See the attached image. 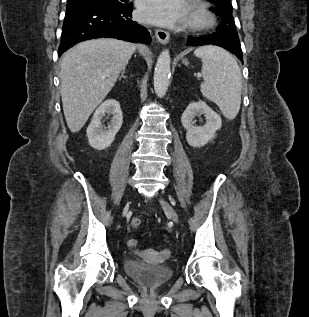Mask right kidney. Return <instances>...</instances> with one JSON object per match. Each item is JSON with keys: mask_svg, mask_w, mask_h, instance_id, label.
Returning a JSON list of instances; mask_svg holds the SVG:
<instances>
[{"mask_svg": "<svg viewBox=\"0 0 309 317\" xmlns=\"http://www.w3.org/2000/svg\"><path fill=\"white\" fill-rule=\"evenodd\" d=\"M112 115L108 129L104 130L101 120L105 115ZM123 123L122 111L118 101L108 99L95 111L91 123L87 128V137L91 147L97 150L108 148L115 139Z\"/></svg>", "mask_w": 309, "mask_h": 317, "instance_id": "obj_1", "label": "right kidney"}]
</instances>
